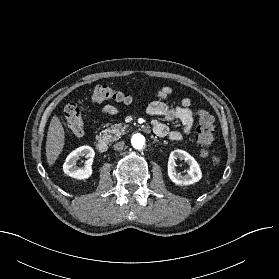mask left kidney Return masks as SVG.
Segmentation results:
<instances>
[{
    "label": "left kidney",
    "instance_id": "5707ae66",
    "mask_svg": "<svg viewBox=\"0 0 279 279\" xmlns=\"http://www.w3.org/2000/svg\"><path fill=\"white\" fill-rule=\"evenodd\" d=\"M184 160L189 165V171L185 175L178 174L175 169V160ZM168 176L176 185H191L198 182L202 172L197 161L186 151L177 149L170 153L168 161Z\"/></svg>",
    "mask_w": 279,
    "mask_h": 279
}]
</instances>
